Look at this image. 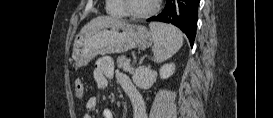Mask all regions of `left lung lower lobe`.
Listing matches in <instances>:
<instances>
[{"label":"left lung lower lobe","instance_id":"1","mask_svg":"<svg viewBox=\"0 0 273 118\" xmlns=\"http://www.w3.org/2000/svg\"><path fill=\"white\" fill-rule=\"evenodd\" d=\"M199 0H167L164 10L147 21L171 23L189 38L191 46L196 35Z\"/></svg>","mask_w":273,"mask_h":118}]
</instances>
